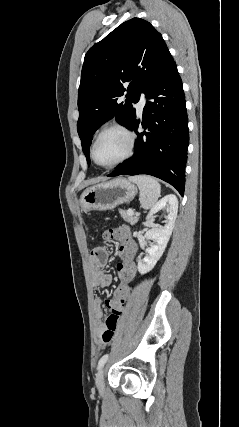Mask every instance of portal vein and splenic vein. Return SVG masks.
<instances>
[{"mask_svg": "<svg viewBox=\"0 0 239 427\" xmlns=\"http://www.w3.org/2000/svg\"><path fill=\"white\" fill-rule=\"evenodd\" d=\"M128 214H129V215L134 214L133 210L129 209V210H128ZM137 215H138V214H137Z\"/></svg>", "mask_w": 239, "mask_h": 427, "instance_id": "obj_1", "label": "portal vein and splenic vein"}]
</instances>
